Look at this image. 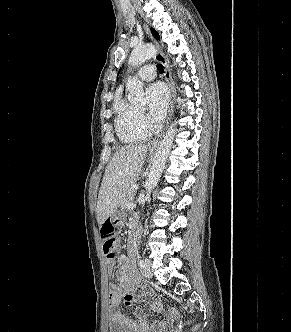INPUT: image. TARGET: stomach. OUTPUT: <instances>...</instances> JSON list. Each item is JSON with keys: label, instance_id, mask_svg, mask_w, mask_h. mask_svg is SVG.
Segmentation results:
<instances>
[{"label": "stomach", "instance_id": "obj_1", "mask_svg": "<svg viewBox=\"0 0 291 332\" xmlns=\"http://www.w3.org/2000/svg\"><path fill=\"white\" fill-rule=\"evenodd\" d=\"M124 214L122 211H116L115 214L111 217V221L115 226H120L123 222Z\"/></svg>", "mask_w": 291, "mask_h": 332}]
</instances>
